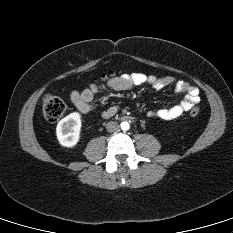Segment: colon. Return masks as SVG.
<instances>
[{"label":"colon","mask_w":233,"mask_h":233,"mask_svg":"<svg viewBox=\"0 0 233 233\" xmlns=\"http://www.w3.org/2000/svg\"><path fill=\"white\" fill-rule=\"evenodd\" d=\"M116 73L115 72H109L108 74H103L101 76V80H107L111 77H113ZM41 106L43 115L49 122H56L58 121L63 114L66 112L67 104L66 102L57 96L54 95H45L41 100ZM200 108L199 107H193L190 110V115L192 117H195L199 115Z\"/></svg>","instance_id":"5ec220e1"}]
</instances>
